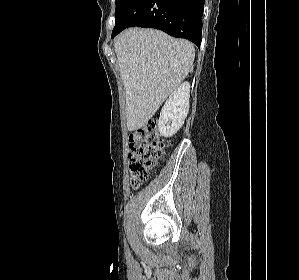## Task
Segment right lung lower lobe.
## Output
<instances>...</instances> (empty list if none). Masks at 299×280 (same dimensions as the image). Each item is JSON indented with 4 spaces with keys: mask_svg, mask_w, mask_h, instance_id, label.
I'll list each match as a JSON object with an SVG mask.
<instances>
[{
    "mask_svg": "<svg viewBox=\"0 0 299 280\" xmlns=\"http://www.w3.org/2000/svg\"><path fill=\"white\" fill-rule=\"evenodd\" d=\"M204 0H124L112 38L127 27L155 28L200 47Z\"/></svg>",
    "mask_w": 299,
    "mask_h": 280,
    "instance_id": "obj_1",
    "label": "right lung lower lobe"
}]
</instances>
